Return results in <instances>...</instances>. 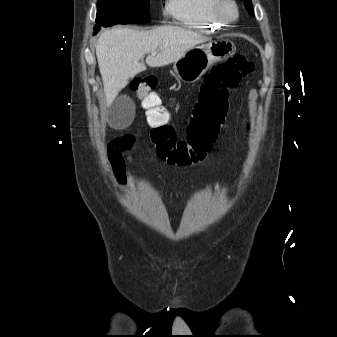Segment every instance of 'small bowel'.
I'll return each instance as SVG.
<instances>
[{
	"label": "small bowel",
	"mask_w": 337,
	"mask_h": 337,
	"mask_svg": "<svg viewBox=\"0 0 337 337\" xmlns=\"http://www.w3.org/2000/svg\"><path fill=\"white\" fill-rule=\"evenodd\" d=\"M137 148L138 145L131 136L117 138L109 145L107 159L120 191H124L132 184L130 165L133 162V153ZM124 151H128V153L124 155ZM146 154L149 156V150L146 151Z\"/></svg>",
	"instance_id": "small-bowel-1"
}]
</instances>
